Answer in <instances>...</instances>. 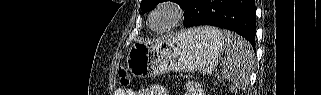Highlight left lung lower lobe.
<instances>
[{
    "instance_id": "1",
    "label": "left lung lower lobe",
    "mask_w": 321,
    "mask_h": 95,
    "mask_svg": "<svg viewBox=\"0 0 321 95\" xmlns=\"http://www.w3.org/2000/svg\"><path fill=\"white\" fill-rule=\"evenodd\" d=\"M183 10L185 27L211 25L229 29L245 37L255 48L254 0H190Z\"/></svg>"
}]
</instances>
